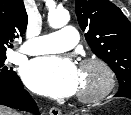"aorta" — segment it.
Here are the masks:
<instances>
[{
    "mask_svg": "<svg viewBox=\"0 0 131 115\" xmlns=\"http://www.w3.org/2000/svg\"><path fill=\"white\" fill-rule=\"evenodd\" d=\"M69 19L70 15L67 10H55L48 14L49 25L55 29L65 26Z\"/></svg>",
    "mask_w": 131,
    "mask_h": 115,
    "instance_id": "aorta-1",
    "label": "aorta"
}]
</instances>
